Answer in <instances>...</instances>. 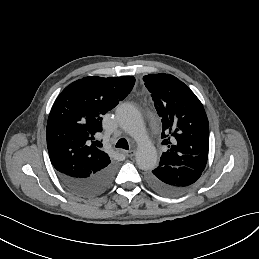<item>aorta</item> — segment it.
I'll return each mask as SVG.
<instances>
[{"label":"aorta","mask_w":259,"mask_h":259,"mask_svg":"<svg viewBox=\"0 0 259 259\" xmlns=\"http://www.w3.org/2000/svg\"><path fill=\"white\" fill-rule=\"evenodd\" d=\"M116 116L120 126L137 142L136 163L142 170H151L157 166L158 156L149 140L143 119L138 109L129 103L118 106Z\"/></svg>","instance_id":"obj_1"}]
</instances>
